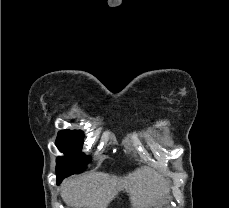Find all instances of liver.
Listing matches in <instances>:
<instances>
[{"mask_svg":"<svg viewBox=\"0 0 229 208\" xmlns=\"http://www.w3.org/2000/svg\"><path fill=\"white\" fill-rule=\"evenodd\" d=\"M122 190L129 194L133 208H149L156 200H162L170 192L166 178H162L156 170L142 166L129 174L125 180L104 172H91L85 176L67 178L60 188V194L63 202L73 208H107Z\"/></svg>","mask_w":229,"mask_h":208,"instance_id":"liver-1","label":"liver"}]
</instances>
